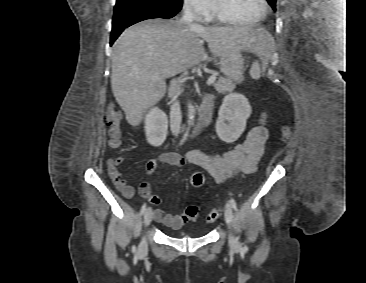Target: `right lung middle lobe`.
<instances>
[{"mask_svg": "<svg viewBox=\"0 0 366 283\" xmlns=\"http://www.w3.org/2000/svg\"><path fill=\"white\" fill-rule=\"evenodd\" d=\"M130 3L139 5L154 3L162 6L164 9L170 12H176V13H178L182 7V0H117L116 1V5H124Z\"/></svg>", "mask_w": 366, "mask_h": 283, "instance_id": "1", "label": "right lung middle lobe"}]
</instances>
